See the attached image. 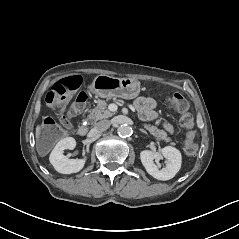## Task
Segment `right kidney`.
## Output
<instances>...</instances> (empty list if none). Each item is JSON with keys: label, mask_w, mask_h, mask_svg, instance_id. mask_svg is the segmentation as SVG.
I'll return each mask as SVG.
<instances>
[{"label": "right kidney", "mask_w": 239, "mask_h": 239, "mask_svg": "<svg viewBox=\"0 0 239 239\" xmlns=\"http://www.w3.org/2000/svg\"><path fill=\"white\" fill-rule=\"evenodd\" d=\"M76 145V140L73 137H66L56 144L51 152L49 160L57 172L72 174L78 173L83 169L89 158L88 155L83 156L82 159H69L63 154L64 150H73Z\"/></svg>", "instance_id": "obj_1"}]
</instances>
